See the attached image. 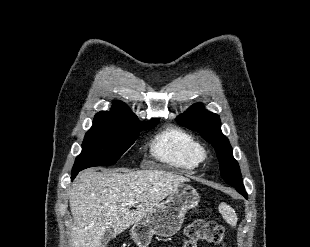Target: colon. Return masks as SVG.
<instances>
[{"label": "colon", "instance_id": "5ec220e1", "mask_svg": "<svg viewBox=\"0 0 310 247\" xmlns=\"http://www.w3.org/2000/svg\"><path fill=\"white\" fill-rule=\"evenodd\" d=\"M184 235L182 247H197L199 241L225 245L223 226L215 221L196 219L185 228Z\"/></svg>", "mask_w": 310, "mask_h": 247}]
</instances>
